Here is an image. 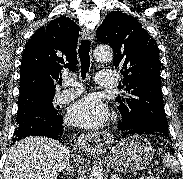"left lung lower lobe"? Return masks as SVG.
I'll list each match as a JSON object with an SVG mask.
<instances>
[{
    "label": "left lung lower lobe",
    "instance_id": "obj_1",
    "mask_svg": "<svg viewBox=\"0 0 183 179\" xmlns=\"http://www.w3.org/2000/svg\"><path fill=\"white\" fill-rule=\"evenodd\" d=\"M118 129L122 131L121 133L122 138L129 137L135 134H152V135L163 137L165 139H170L169 133H161V132L148 130L146 128L133 127L125 120H122L121 122H119Z\"/></svg>",
    "mask_w": 183,
    "mask_h": 179
}]
</instances>
